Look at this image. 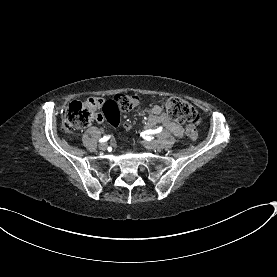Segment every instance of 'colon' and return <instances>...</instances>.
<instances>
[{
	"label": "colon",
	"mask_w": 277,
	"mask_h": 277,
	"mask_svg": "<svg viewBox=\"0 0 277 277\" xmlns=\"http://www.w3.org/2000/svg\"><path fill=\"white\" fill-rule=\"evenodd\" d=\"M115 98L118 99L119 110L123 112H127L142 103L133 95L119 94ZM97 99L95 96L86 103L80 101L70 103L64 115V122L69 131L76 133L87 127L95 119L103 120L102 104ZM165 111L171 118L186 124L185 136L189 140L196 141L198 139V132L195 127L198 114L192 105L182 98L169 97L165 103Z\"/></svg>",
	"instance_id": "1"
}]
</instances>
